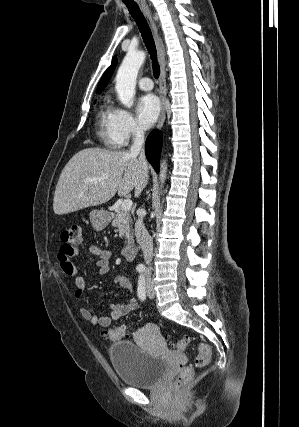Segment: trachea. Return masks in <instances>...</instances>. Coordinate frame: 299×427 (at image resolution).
Instances as JSON below:
<instances>
[{"label": "trachea", "mask_w": 299, "mask_h": 427, "mask_svg": "<svg viewBox=\"0 0 299 427\" xmlns=\"http://www.w3.org/2000/svg\"><path fill=\"white\" fill-rule=\"evenodd\" d=\"M126 7L140 30L143 41L152 59L154 77L158 79L160 67L157 61V51L150 27L137 4H126Z\"/></svg>", "instance_id": "trachea-1"}]
</instances>
